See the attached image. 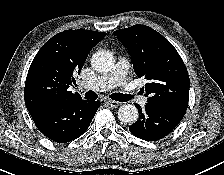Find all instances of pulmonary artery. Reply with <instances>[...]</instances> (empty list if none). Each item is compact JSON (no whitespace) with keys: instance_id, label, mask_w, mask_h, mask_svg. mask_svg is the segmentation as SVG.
<instances>
[{"instance_id":"1","label":"pulmonary artery","mask_w":224,"mask_h":175,"mask_svg":"<svg viewBox=\"0 0 224 175\" xmlns=\"http://www.w3.org/2000/svg\"><path fill=\"white\" fill-rule=\"evenodd\" d=\"M129 68L130 63L128 59L120 57L114 68L109 73L98 76L89 81H83L80 86L88 90L105 91L115 86L125 85ZM146 101V98L140 99L141 104H145Z\"/></svg>"}]
</instances>
